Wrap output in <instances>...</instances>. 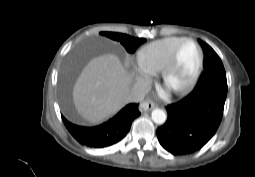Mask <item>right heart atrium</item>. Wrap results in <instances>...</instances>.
I'll list each match as a JSON object with an SVG mask.
<instances>
[{
  "instance_id": "1",
  "label": "right heart atrium",
  "mask_w": 255,
  "mask_h": 177,
  "mask_svg": "<svg viewBox=\"0 0 255 177\" xmlns=\"http://www.w3.org/2000/svg\"><path fill=\"white\" fill-rule=\"evenodd\" d=\"M136 78L140 82H147L155 74V70L146 66L139 58L135 65Z\"/></svg>"
}]
</instances>
